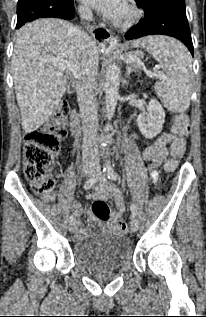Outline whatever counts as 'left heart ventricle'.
I'll use <instances>...</instances> for the list:
<instances>
[{"label": "left heart ventricle", "mask_w": 206, "mask_h": 317, "mask_svg": "<svg viewBox=\"0 0 206 317\" xmlns=\"http://www.w3.org/2000/svg\"><path fill=\"white\" fill-rule=\"evenodd\" d=\"M124 15H125V5L122 6V8L120 9L116 17H122Z\"/></svg>", "instance_id": "b2bd125f"}]
</instances>
